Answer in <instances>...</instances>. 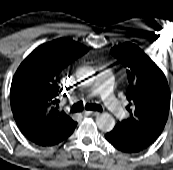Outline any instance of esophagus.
I'll use <instances>...</instances> for the list:
<instances>
[{
	"instance_id": "34e87169",
	"label": "esophagus",
	"mask_w": 173,
	"mask_h": 170,
	"mask_svg": "<svg viewBox=\"0 0 173 170\" xmlns=\"http://www.w3.org/2000/svg\"><path fill=\"white\" fill-rule=\"evenodd\" d=\"M83 114L85 116H97V115H99V112H97V111H84Z\"/></svg>"
}]
</instances>
